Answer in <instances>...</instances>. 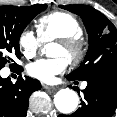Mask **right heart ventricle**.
Segmentation results:
<instances>
[{
	"mask_svg": "<svg viewBox=\"0 0 117 117\" xmlns=\"http://www.w3.org/2000/svg\"><path fill=\"white\" fill-rule=\"evenodd\" d=\"M38 37L45 43L54 39L80 37L82 27L75 16L54 11L40 17L36 23Z\"/></svg>",
	"mask_w": 117,
	"mask_h": 117,
	"instance_id": "obj_1",
	"label": "right heart ventricle"
}]
</instances>
